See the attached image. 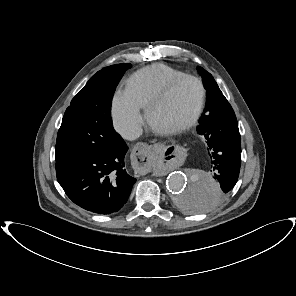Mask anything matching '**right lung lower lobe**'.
Returning a JSON list of instances; mask_svg holds the SVG:
<instances>
[{
  "label": "right lung lower lobe",
  "mask_w": 296,
  "mask_h": 296,
  "mask_svg": "<svg viewBox=\"0 0 296 296\" xmlns=\"http://www.w3.org/2000/svg\"><path fill=\"white\" fill-rule=\"evenodd\" d=\"M128 150L123 141L116 149L100 150L56 162V176L66 195L81 208L113 214L127 202L136 179L125 167Z\"/></svg>",
  "instance_id": "obj_1"
}]
</instances>
